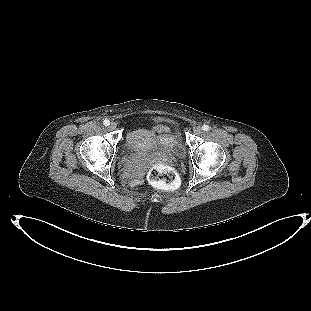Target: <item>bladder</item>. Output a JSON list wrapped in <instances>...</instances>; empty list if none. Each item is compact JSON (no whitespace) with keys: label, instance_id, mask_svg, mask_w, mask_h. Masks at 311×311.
<instances>
[{"label":"bladder","instance_id":"bladder-1","mask_svg":"<svg viewBox=\"0 0 311 311\" xmlns=\"http://www.w3.org/2000/svg\"><path fill=\"white\" fill-rule=\"evenodd\" d=\"M153 122L157 126H162V140H154L152 131L147 129L130 130L124 139L125 151L129 153H137L143 150L171 147L174 154L181 157L184 154V144L178 127L172 121L160 117L155 118Z\"/></svg>","mask_w":311,"mask_h":311}]
</instances>
